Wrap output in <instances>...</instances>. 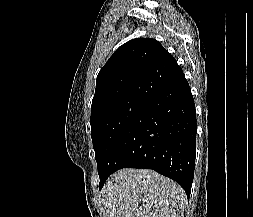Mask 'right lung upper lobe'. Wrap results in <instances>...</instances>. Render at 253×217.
I'll use <instances>...</instances> for the list:
<instances>
[{
    "label": "right lung upper lobe",
    "instance_id": "obj_1",
    "mask_svg": "<svg viewBox=\"0 0 253 217\" xmlns=\"http://www.w3.org/2000/svg\"><path fill=\"white\" fill-rule=\"evenodd\" d=\"M182 73L174 57L157 40L137 38L128 41L100 70L91 115L123 99L151 100Z\"/></svg>",
    "mask_w": 253,
    "mask_h": 217
}]
</instances>
